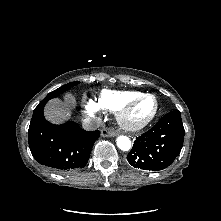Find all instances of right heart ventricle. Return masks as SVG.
<instances>
[{"mask_svg": "<svg viewBox=\"0 0 221 221\" xmlns=\"http://www.w3.org/2000/svg\"><path fill=\"white\" fill-rule=\"evenodd\" d=\"M140 94H142L140 91L103 90L96 101V105L101 110L116 112L124 103Z\"/></svg>", "mask_w": 221, "mask_h": 221, "instance_id": "e07e8e85", "label": "right heart ventricle"}]
</instances>
